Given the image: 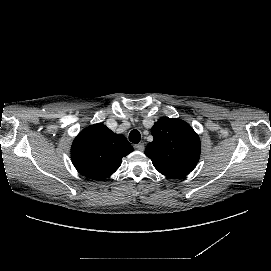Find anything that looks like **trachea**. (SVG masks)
<instances>
[{
	"instance_id": "trachea-1",
	"label": "trachea",
	"mask_w": 271,
	"mask_h": 271,
	"mask_svg": "<svg viewBox=\"0 0 271 271\" xmlns=\"http://www.w3.org/2000/svg\"><path fill=\"white\" fill-rule=\"evenodd\" d=\"M129 140L133 143H139L141 140V135L139 131L137 130H132L129 134Z\"/></svg>"
}]
</instances>
